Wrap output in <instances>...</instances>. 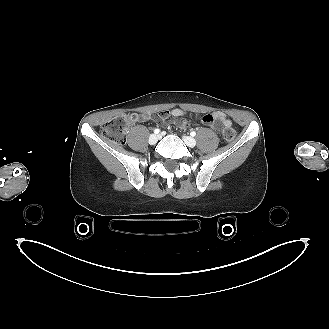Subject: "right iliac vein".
I'll list each match as a JSON object with an SVG mask.
<instances>
[{
	"label": "right iliac vein",
	"mask_w": 329,
	"mask_h": 329,
	"mask_svg": "<svg viewBox=\"0 0 329 329\" xmlns=\"http://www.w3.org/2000/svg\"><path fill=\"white\" fill-rule=\"evenodd\" d=\"M159 139H160V135L152 134L150 135L148 142L149 144L154 145L157 143Z\"/></svg>",
	"instance_id": "1"
}]
</instances>
